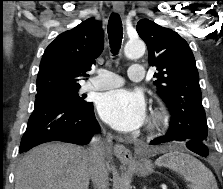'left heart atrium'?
Here are the masks:
<instances>
[{
    "label": "left heart atrium",
    "mask_w": 223,
    "mask_h": 189,
    "mask_svg": "<svg viewBox=\"0 0 223 189\" xmlns=\"http://www.w3.org/2000/svg\"><path fill=\"white\" fill-rule=\"evenodd\" d=\"M100 117L114 129L130 132L139 128L146 119V103L141 93L117 89L100 96Z\"/></svg>",
    "instance_id": "left-heart-atrium-1"
}]
</instances>
